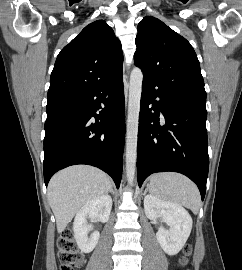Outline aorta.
<instances>
[{
	"instance_id": "1",
	"label": "aorta",
	"mask_w": 242,
	"mask_h": 270,
	"mask_svg": "<svg viewBox=\"0 0 242 270\" xmlns=\"http://www.w3.org/2000/svg\"><path fill=\"white\" fill-rule=\"evenodd\" d=\"M142 81L143 73L135 67L130 75L126 137V177L129 185L133 184L135 177Z\"/></svg>"
}]
</instances>
